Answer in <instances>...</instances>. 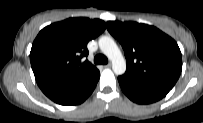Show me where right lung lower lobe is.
Segmentation results:
<instances>
[{
  "label": "right lung lower lobe",
  "instance_id": "right-lung-lower-lobe-1",
  "mask_svg": "<svg viewBox=\"0 0 203 123\" xmlns=\"http://www.w3.org/2000/svg\"><path fill=\"white\" fill-rule=\"evenodd\" d=\"M99 78L98 71L89 77L57 80L39 87L48 98L60 105H77L93 92Z\"/></svg>",
  "mask_w": 203,
  "mask_h": 123
}]
</instances>
